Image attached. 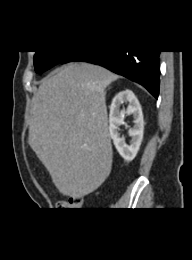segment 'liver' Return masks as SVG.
<instances>
[{
  "label": "liver",
  "instance_id": "6515ba94",
  "mask_svg": "<svg viewBox=\"0 0 192 260\" xmlns=\"http://www.w3.org/2000/svg\"><path fill=\"white\" fill-rule=\"evenodd\" d=\"M117 78L98 65L69 63L34 95L28 142L63 195H88L111 172L105 88Z\"/></svg>",
  "mask_w": 192,
  "mask_h": 260
}]
</instances>
